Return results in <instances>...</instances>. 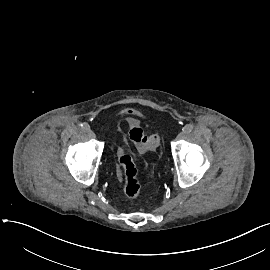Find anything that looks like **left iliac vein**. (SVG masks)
I'll return each instance as SVG.
<instances>
[{"label": "left iliac vein", "mask_w": 270, "mask_h": 270, "mask_svg": "<svg viewBox=\"0 0 270 270\" xmlns=\"http://www.w3.org/2000/svg\"><path fill=\"white\" fill-rule=\"evenodd\" d=\"M185 135H186V133H185L184 131H181V132L177 135L176 139H177V140H181V139H183V138L185 137Z\"/></svg>", "instance_id": "1"}]
</instances>
